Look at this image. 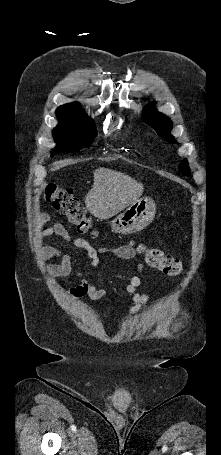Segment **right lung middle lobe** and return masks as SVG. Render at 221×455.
<instances>
[{
	"mask_svg": "<svg viewBox=\"0 0 221 455\" xmlns=\"http://www.w3.org/2000/svg\"><path fill=\"white\" fill-rule=\"evenodd\" d=\"M53 137L57 143L55 152L79 151L90 146L96 137V130L92 120L83 123L59 120V125L53 130Z\"/></svg>",
	"mask_w": 221,
	"mask_h": 455,
	"instance_id": "1",
	"label": "right lung middle lobe"
}]
</instances>
